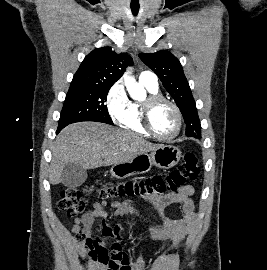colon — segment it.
Listing matches in <instances>:
<instances>
[{
	"label": "colon",
	"mask_w": 267,
	"mask_h": 270,
	"mask_svg": "<svg viewBox=\"0 0 267 270\" xmlns=\"http://www.w3.org/2000/svg\"><path fill=\"white\" fill-rule=\"evenodd\" d=\"M199 173L197 156L194 153H186L179 166L171 171L166 178L155 176L144 180L106 186L69 187L62 191L58 205L68 216H75L83 213L87 199L91 194L102 198L162 194L177 191L187 186L188 182L196 181ZM77 239L91 260L108 266L109 270L128 269L127 257L121 255L118 259L110 258L100 238L94 237L91 233L79 232Z\"/></svg>",
	"instance_id": "1"
}]
</instances>
